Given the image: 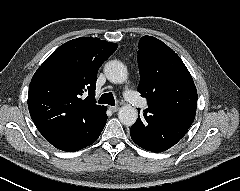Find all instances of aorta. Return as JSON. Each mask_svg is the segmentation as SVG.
Instances as JSON below:
<instances>
[{"instance_id":"aorta-1","label":"aorta","mask_w":240,"mask_h":191,"mask_svg":"<svg viewBox=\"0 0 240 191\" xmlns=\"http://www.w3.org/2000/svg\"><path fill=\"white\" fill-rule=\"evenodd\" d=\"M104 73L107 79L115 84H122L127 80V67L118 60H112L105 64ZM118 118L123 125L132 126L137 118L138 112L133 106L126 104L119 109Z\"/></svg>"}]
</instances>
